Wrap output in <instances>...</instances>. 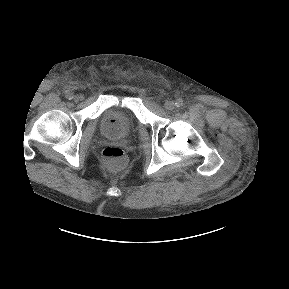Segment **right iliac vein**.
<instances>
[{
    "instance_id": "obj_1",
    "label": "right iliac vein",
    "mask_w": 289,
    "mask_h": 289,
    "mask_svg": "<svg viewBox=\"0 0 289 289\" xmlns=\"http://www.w3.org/2000/svg\"><path fill=\"white\" fill-rule=\"evenodd\" d=\"M73 99L75 102H78L81 99V96L75 95Z\"/></svg>"
}]
</instances>
